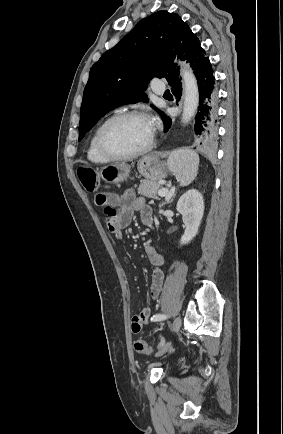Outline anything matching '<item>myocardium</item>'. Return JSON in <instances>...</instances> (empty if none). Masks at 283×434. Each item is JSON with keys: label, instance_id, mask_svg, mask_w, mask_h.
I'll list each match as a JSON object with an SVG mask.
<instances>
[{"label": "myocardium", "instance_id": "myocardium-1", "mask_svg": "<svg viewBox=\"0 0 283 434\" xmlns=\"http://www.w3.org/2000/svg\"><path fill=\"white\" fill-rule=\"evenodd\" d=\"M132 118H139L144 120H149L148 115L142 111L138 110H132V111H126L122 113H118L113 115L112 117L108 118L106 121H104L100 127L97 129L95 133V145L98 150V152L105 158L115 161V160H127L132 158H137L139 156H142L146 153H148L154 146L155 137L154 133L152 132L151 137L148 141V143L141 148L140 150H137L135 152L131 153H116L111 151L105 144L104 141V135L107 129L112 126L113 124L126 120V119H132Z\"/></svg>", "mask_w": 283, "mask_h": 434}]
</instances>
